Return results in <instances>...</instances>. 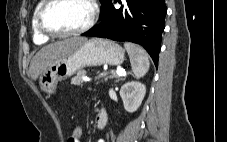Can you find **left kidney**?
I'll return each instance as SVG.
<instances>
[{
    "label": "left kidney",
    "instance_id": "1",
    "mask_svg": "<svg viewBox=\"0 0 227 142\" xmlns=\"http://www.w3.org/2000/svg\"><path fill=\"white\" fill-rule=\"evenodd\" d=\"M146 93L144 84L131 81L125 83L120 89V96L123 100L124 108L127 112H135L141 105Z\"/></svg>",
    "mask_w": 227,
    "mask_h": 142
}]
</instances>
